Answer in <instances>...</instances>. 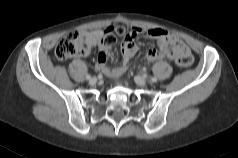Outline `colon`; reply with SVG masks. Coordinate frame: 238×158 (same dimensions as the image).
<instances>
[{
  "instance_id": "1",
  "label": "colon",
  "mask_w": 238,
  "mask_h": 158,
  "mask_svg": "<svg viewBox=\"0 0 238 158\" xmlns=\"http://www.w3.org/2000/svg\"><path fill=\"white\" fill-rule=\"evenodd\" d=\"M124 33L123 28H107L99 31L100 42L111 46L118 36ZM86 53V45L83 35L78 31H73L65 35L55 48V56L59 60H66L71 57L81 56ZM176 65L179 68H187L192 64V57L188 55H177Z\"/></svg>"
}]
</instances>
